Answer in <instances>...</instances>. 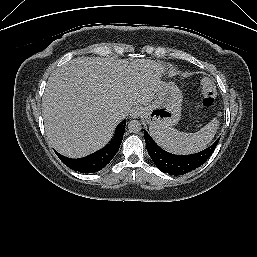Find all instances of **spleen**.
I'll list each match as a JSON object with an SVG mask.
<instances>
[{
    "mask_svg": "<svg viewBox=\"0 0 257 257\" xmlns=\"http://www.w3.org/2000/svg\"><path fill=\"white\" fill-rule=\"evenodd\" d=\"M218 127V119L213 118L195 133H184L169 127L153 129L151 130V135L156 143L166 151L186 155L205 149L207 144L214 138Z\"/></svg>",
    "mask_w": 257,
    "mask_h": 257,
    "instance_id": "3e777b00",
    "label": "spleen"
}]
</instances>
